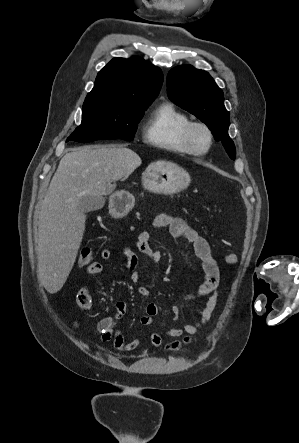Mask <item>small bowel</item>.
Listing matches in <instances>:
<instances>
[{"label":"small bowel","mask_w":299,"mask_h":443,"mask_svg":"<svg viewBox=\"0 0 299 443\" xmlns=\"http://www.w3.org/2000/svg\"><path fill=\"white\" fill-rule=\"evenodd\" d=\"M153 227L156 229L168 227L170 233L175 238H184L193 245L197 258L201 261L204 270V280L199 289L195 293L184 294L180 297L182 303H191L201 297H207L206 306L201 314L199 322L186 323L183 327L173 326L168 328L163 336L167 338L180 337L183 332L188 335L181 340H173L165 345L167 349L177 350L183 345L188 344L191 336L194 335L203 325H205L211 318V315L217 305L218 292L220 284V272L216 260L212 255V251L207 240L199 235V233L188 225L182 218L170 216L167 214L158 215L153 221ZM151 237L147 231L139 233L136 240L137 249L147 256L148 264H158L162 260V254L153 250L150 245ZM125 259V268L130 271V281L137 283L141 279V271L138 269V256L130 249L123 250ZM111 257L109 250L104 249L100 253V258L107 263ZM147 265H144L146 267ZM103 271V264L99 261L92 262L87 266V275H97ZM138 293L145 299L150 298V290L145 286L138 288ZM92 300L90 289L86 286L82 287L76 298V305L79 309L86 310L89 308ZM158 306L149 302L145 307V314L141 317L140 322L143 326H150L153 324L154 317L157 315ZM127 312L126 303L119 301L116 303V315L107 316L101 319L97 325L101 340L103 342H112L114 347L121 352H132L140 347V337H135L127 341L124 335L116 329V320L124 316ZM172 312L176 317L179 313V306L174 305ZM77 327V323L74 324ZM163 336L156 332H149L147 334L148 340L153 347H160L163 345Z\"/></svg>","instance_id":"1"}]
</instances>
